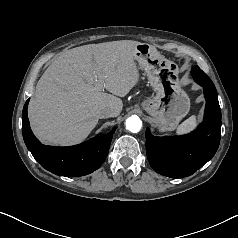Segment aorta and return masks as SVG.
Wrapping results in <instances>:
<instances>
[{"instance_id": "762f6f07", "label": "aorta", "mask_w": 238, "mask_h": 238, "mask_svg": "<svg viewBox=\"0 0 238 238\" xmlns=\"http://www.w3.org/2000/svg\"><path fill=\"white\" fill-rule=\"evenodd\" d=\"M126 129L129 130L132 133H137L142 128V121L138 116H131L126 119L125 122Z\"/></svg>"}]
</instances>
